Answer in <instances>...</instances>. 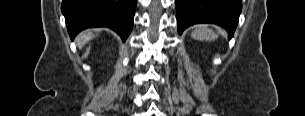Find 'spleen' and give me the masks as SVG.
Wrapping results in <instances>:
<instances>
[{
    "instance_id": "3e777b00",
    "label": "spleen",
    "mask_w": 305,
    "mask_h": 116,
    "mask_svg": "<svg viewBox=\"0 0 305 116\" xmlns=\"http://www.w3.org/2000/svg\"><path fill=\"white\" fill-rule=\"evenodd\" d=\"M191 37L194 39L212 41L215 40L218 35L212 29H209L206 25L200 24L196 25L195 30L191 33Z\"/></svg>"
}]
</instances>
